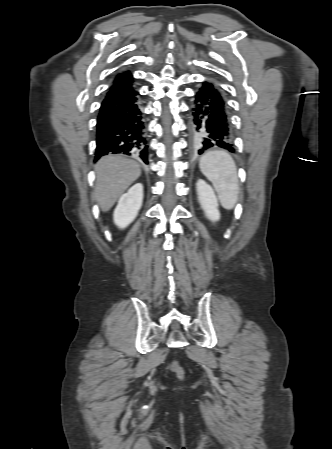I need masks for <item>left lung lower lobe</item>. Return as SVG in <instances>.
<instances>
[{"label": "left lung lower lobe", "instance_id": "1", "mask_svg": "<svg viewBox=\"0 0 332 449\" xmlns=\"http://www.w3.org/2000/svg\"><path fill=\"white\" fill-rule=\"evenodd\" d=\"M192 151L202 154L209 148L234 152L233 135L224 95L217 85L202 82L194 96L189 122Z\"/></svg>", "mask_w": 332, "mask_h": 449}]
</instances>
